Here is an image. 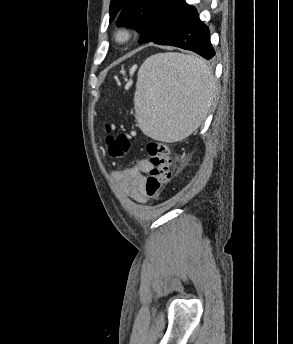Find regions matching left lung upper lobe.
Instances as JSON below:
<instances>
[{
    "label": "left lung upper lobe",
    "mask_w": 293,
    "mask_h": 344,
    "mask_svg": "<svg viewBox=\"0 0 293 344\" xmlns=\"http://www.w3.org/2000/svg\"><path fill=\"white\" fill-rule=\"evenodd\" d=\"M190 5L185 0H111L110 21L136 28L141 43L159 44L177 28Z\"/></svg>",
    "instance_id": "1"
}]
</instances>
